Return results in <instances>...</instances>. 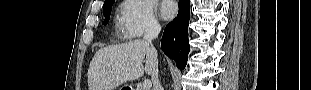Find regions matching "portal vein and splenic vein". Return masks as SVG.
I'll list each match as a JSON object with an SVG mask.
<instances>
[{
    "label": "portal vein and splenic vein",
    "mask_w": 311,
    "mask_h": 90,
    "mask_svg": "<svg viewBox=\"0 0 311 90\" xmlns=\"http://www.w3.org/2000/svg\"><path fill=\"white\" fill-rule=\"evenodd\" d=\"M152 86V83L150 80H144L143 84H142V90H150Z\"/></svg>",
    "instance_id": "portal-vein-and-splenic-vein-1"
}]
</instances>
